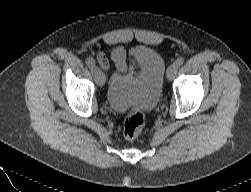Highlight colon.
<instances>
[{
    "label": "colon",
    "instance_id": "5ec220e1",
    "mask_svg": "<svg viewBox=\"0 0 251 192\" xmlns=\"http://www.w3.org/2000/svg\"><path fill=\"white\" fill-rule=\"evenodd\" d=\"M145 119L141 110H131L124 122V136L132 141L140 136L144 128Z\"/></svg>",
    "mask_w": 251,
    "mask_h": 192
}]
</instances>
